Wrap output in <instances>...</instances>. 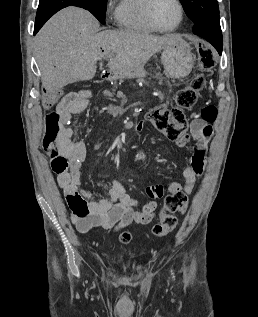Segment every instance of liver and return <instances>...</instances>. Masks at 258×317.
Instances as JSON below:
<instances>
[{
  "label": "liver",
  "mask_w": 258,
  "mask_h": 317,
  "mask_svg": "<svg viewBox=\"0 0 258 317\" xmlns=\"http://www.w3.org/2000/svg\"><path fill=\"white\" fill-rule=\"evenodd\" d=\"M98 30L97 18L77 6L62 8L42 26L35 52L47 92L56 96L69 82L93 78L102 58L111 70H143L152 54L183 40L180 34L147 30Z\"/></svg>",
  "instance_id": "6515ba94"
}]
</instances>
